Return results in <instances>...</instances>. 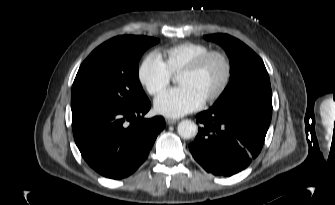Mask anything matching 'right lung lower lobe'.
Wrapping results in <instances>:
<instances>
[{"label":"right lung lower lobe","mask_w":335,"mask_h":205,"mask_svg":"<svg viewBox=\"0 0 335 205\" xmlns=\"http://www.w3.org/2000/svg\"><path fill=\"white\" fill-rule=\"evenodd\" d=\"M150 107L146 97L134 106L72 112L74 139L85 161L107 178L122 179L132 174L165 128L161 116L144 118Z\"/></svg>","instance_id":"right-lung-lower-lobe-1"}]
</instances>
